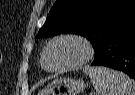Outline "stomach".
I'll list each match as a JSON object with an SVG mask.
<instances>
[{
    "label": "stomach",
    "instance_id": "0dacf381",
    "mask_svg": "<svg viewBox=\"0 0 135 95\" xmlns=\"http://www.w3.org/2000/svg\"><path fill=\"white\" fill-rule=\"evenodd\" d=\"M84 89L85 83L83 80L60 77L55 78L38 95H78Z\"/></svg>",
    "mask_w": 135,
    "mask_h": 95
}]
</instances>
